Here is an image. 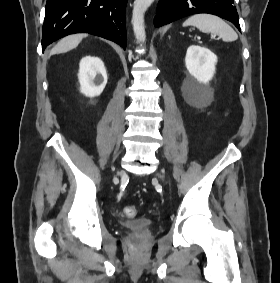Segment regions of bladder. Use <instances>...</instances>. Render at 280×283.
Wrapping results in <instances>:
<instances>
[{"label": "bladder", "mask_w": 280, "mask_h": 283, "mask_svg": "<svg viewBox=\"0 0 280 283\" xmlns=\"http://www.w3.org/2000/svg\"><path fill=\"white\" fill-rule=\"evenodd\" d=\"M122 226L130 232L133 233H145L149 231L153 223L150 219L140 218L136 220L125 221L122 223Z\"/></svg>", "instance_id": "obj_1"}]
</instances>
